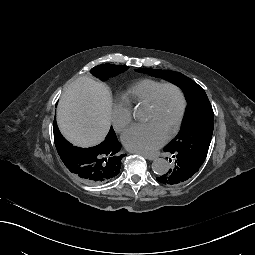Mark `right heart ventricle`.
<instances>
[{"label":"right heart ventricle","mask_w":255,"mask_h":255,"mask_svg":"<svg viewBox=\"0 0 255 255\" xmlns=\"http://www.w3.org/2000/svg\"><path fill=\"white\" fill-rule=\"evenodd\" d=\"M160 84H162L160 81L154 79L140 80L120 96L119 103L130 110L139 104L146 105L152 93Z\"/></svg>","instance_id":"1"}]
</instances>
